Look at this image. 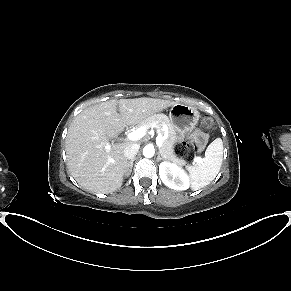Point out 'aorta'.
Instances as JSON below:
<instances>
[{
    "label": "aorta",
    "instance_id": "1",
    "mask_svg": "<svg viewBox=\"0 0 291 291\" xmlns=\"http://www.w3.org/2000/svg\"><path fill=\"white\" fill-rule=\"evenodd\" d=\"M155 154V149H154V146L149 144V145H146L144 148H143V155L144 157L146 158H152Z\"/></svg>",
    "mask_w": 291,
    "mask_h": 291
}]
</instances>
